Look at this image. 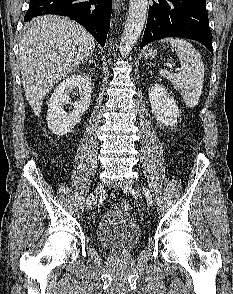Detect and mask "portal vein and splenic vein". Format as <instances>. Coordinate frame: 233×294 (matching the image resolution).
I'll list each match as a JSON object with an SVG mask.
<instances>
[{"label":"portal vein and splenic vein","instance_id":"obj_1","mask_svg":"<svg viewBox=\"0 0 233 294\" xmlns=\"http://www.w3.org/2000/svg\"><path fill=\"white\" fill-rule=\"evenodd\" d=\"M171 67H172V66H171ZM174 70H175V71H179V69H178V68H175Z\"/></svg>","mask_w":233,"mask_h":294}]
</instances>
